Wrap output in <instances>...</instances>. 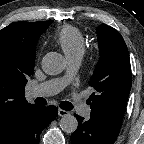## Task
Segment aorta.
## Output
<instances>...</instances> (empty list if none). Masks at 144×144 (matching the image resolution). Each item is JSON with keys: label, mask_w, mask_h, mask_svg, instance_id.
<instances>
[{"label": "aorta", "mask_w": 144, "mask_h": 144, "mask_svg": "<svg viewBox=\"0 0 144 144\" xmlns=\"http://www.w3.org/2000/svg\"><path fill=\"white\" fill-rule=\"evenodd\" d=\"M42 69L46 74L57 75L64 69V59L61 54L57 52H49L42 59ZM60 128L65 133H73L78 127V121L75 116L71 114L64 115L60 122Z\"/></svg>", "instance_id": "762f6f07"}]
</instances>
